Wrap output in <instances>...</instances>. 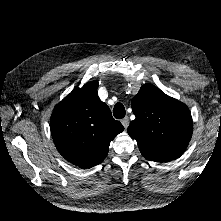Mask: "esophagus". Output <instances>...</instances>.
I'll use <instances>...</instances> for the list:
<instances>
[{"mask_svg": "<svg viewBox=\"0 0 221 221\" xmlns=\"http://www.w3.org/2000/svg\"><path fill=\"white\" fill-rule=\"evenodd\" d=\"M122 125L124 126V128L126 129L129 125V119L128 118H124L121 120Z\"/></svg>", "mask_w": 221, "mask_h": 221, "instance_id": "1", "label": "esophagus"}]
</instances>
